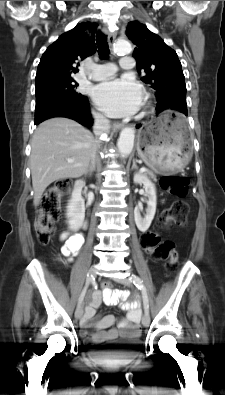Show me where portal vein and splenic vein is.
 Instances as JSON below:
<instances>
[{
    "label": "portal vein and splenic vein",
    "instance_id": "obj_1",
    "mask_svg": "<svg viewBox=\"0 0 225 395\" xmlns=\"http://www.w3.org/2000/svg\"><path fill=\"white\" fill-rule=\"evenodd\" d=\"M68 162H72V160H71V159H68ZM140 171H141V172H145V171H147V168L142 167V168L140 169Z\"/></svg>",
    "mask_w": 225,
    "mask_h": 395
}]
</instances>
